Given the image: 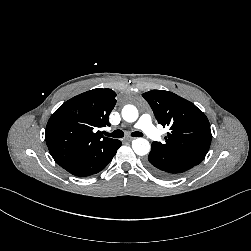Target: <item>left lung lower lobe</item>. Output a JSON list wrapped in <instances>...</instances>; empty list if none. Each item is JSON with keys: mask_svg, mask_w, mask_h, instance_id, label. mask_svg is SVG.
<instances>
[{"mask_svg": "<svg viewBox=\"0 0 251 251\" xmlns=\"http://www.w3.org/2000/svg\"><path fill=\"white\" fill-rule=\"evenodd\" d=\"M145 165L158 177L172 179L198 164L178 154L152 146Z\"/></svg>", "mask_w": 251, "mask_h": 251, "instance_id": "1", "label": "left lung lower lobe"}]
</instances>
